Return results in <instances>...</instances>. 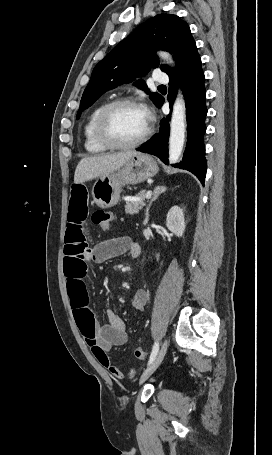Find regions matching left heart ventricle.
Here are the masks:
<instances>
[{
    "instance_id": "1",
    "label": "left heart ventricle",
    "mask_w": 272,
    "mask_h": 455,
    "mask_svg": "<svg viewBox=\"0 0 272 455\" xmlns=\"http://www.w3.org/2000/svg\"><path fill=\"white\" fill-rule=\"evenodd\" d=\"M147 115L135 106H121L114 109L107 118L106 129L115 141L129 143L138 139L145 131Z\"/></svg>"
}]
</instances>
